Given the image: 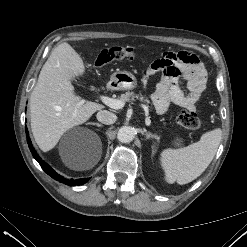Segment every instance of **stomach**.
<instances>
[{"label": "stomach", "mask_w": 247, "mask_h": 247, "mask_svg": "<svg viewBox=\"0 0 247 247\" xmlns=\"http://www.w3.org/2000/svg\"><path fill=\"white\" fill-rule=\"evenodd\" d=\"M110 84L115 90H132L137 87V79L131 72L118 71L111 75Z\"/></svg>", "instance_id": "obj_1"}]
</instances>
